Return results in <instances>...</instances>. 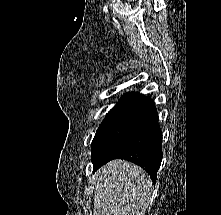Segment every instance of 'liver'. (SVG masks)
<instances>
[{"instance_id": "obj_1", "label": "liver", "mask_w": 221, "mask_h": 215, "mask_svg": "<svg viewBox=\"0 0 221 215\" xmlns=\"http://www.w3.org/2000/svg\"><path fill=\"white\" fill-rule=\"evenodd\" d=\"M94 215H145L152 182L139 166L117 159L94 174Z\"/></svg>"}]
</instances>
